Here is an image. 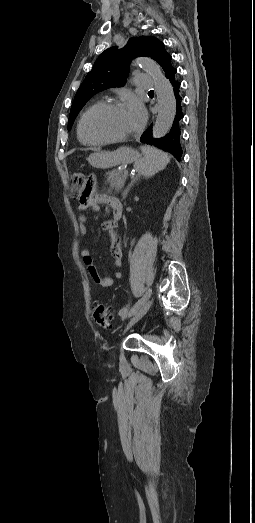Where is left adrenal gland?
<instances>
[{
  "mask_svg": "<svg viewBox=\"0 0 255 523\" xmlns=\"http://www.w3.org/2000/svg\"><path fill=\"white\" fill-rule=\"evenodd\" d=\"M137 180H139V176L138 178H131V182L129 184V186H127L126 190H124L122 196H123V200H125V198H127V194L130 190V188H132L133 184H135V182H137Z\"/></svg>",
  "mask_w": 255,
  "mask_h": 523,
  "instance_id": "left-adrenal-gland-1",
  "label": "left adrenal gland"
}]
</instances>
